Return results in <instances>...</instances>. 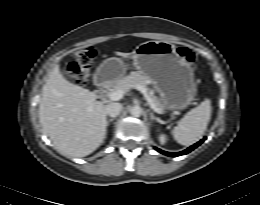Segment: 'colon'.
<instances>
[{"instance_id":"colon-1","label":"colon","mask_w":260,"mask_h":205,"mask_svg":"<svg viewBox=\"0 0 260 205\" xmlns=\"http://www.w3.org/2000/svg\"><path fill=\"white\" fill-rule=\"evenodd\" d=\"M179 55L188 63L193 64L194 54L187 48H180ZM97 55V49L94 46H88L73 53V61L69 64L68 70L71 77L78 84H85L89 75L90 66Z\"/></svg>"}]
</instances>
